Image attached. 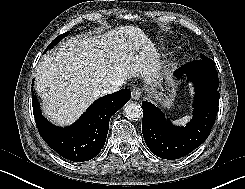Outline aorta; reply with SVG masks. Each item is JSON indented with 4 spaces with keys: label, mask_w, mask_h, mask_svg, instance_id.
<instances>
[{
    "label": "aorta",
    "mask_w": 245,
    "mask_h": 189,
    "mask_svg": "<svg viewBox=\"0 0 245 189\" xmlns=\"http://www.w3.org/2000/svg\"><path fill=\"white\" fill-rule=\"evenodd\" d=\"M125 116L131 120H138L142 116V108L135 102L128 103L124 108Z\"/></svg>",
    "instance_id": "1"
}]
</instances>
